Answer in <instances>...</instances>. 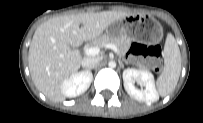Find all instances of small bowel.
Here are the masks:
<instances>
[{
	"instance_id": "obj_1",
	"label": "small bowel",
	"mask_w": 203,
	"mask_h": 123,
	"mask_svg": "<svg viewBox=\"0 0 203 123\" xmlns=\"http://www.w3.org/2000/svg\"><path fill=\"white\" fill-rule=\"evenodd\" d=\"M133 54H134V55H138V54H140V52H139L138 50H134V51H133Z\"/></svg>"
}]
</instances>
